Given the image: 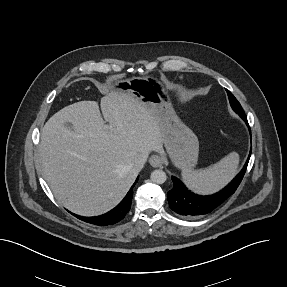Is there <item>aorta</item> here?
Wrapping results in <instances>:
<instances>
[{
	"label": "aorta",
	"mask_w": 287,
	"mask_h": 287,
	"mask_svg": "<svg viewBox=\"0 0 287 287\" xmlns=\"http://www.w3.org/2000/svg\"><path fill=\"white\" fill-rule=\"evenodd\" d=\"M150 178H151L152 182H154L156 184H163L167 180V175L163 170L157 169L151 173Z\"/></svg>",
	"instance_id": "762f6f07"
}]
</instances>
